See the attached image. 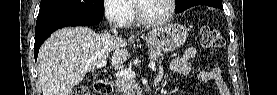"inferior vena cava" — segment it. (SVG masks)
I'll use <instances>...</instances> for the list:
<instances>
[{
  "label": "inferior vena cava",
  "instance_id": "inferior-vena-cava-1",
  "mask_svg": "<svg viewBox=\"0 0 277 95\" xmlns=\"http://www.w3.org/2000/svg\"><path fill=\"white\" fill-rule=\"evenodd\" d=\"M112 32H113V34H116L117 33V31H116V29H112Z\"/></svg>",
  "mask_w": 277,
  "mask_h": 95
}]
</instances>
